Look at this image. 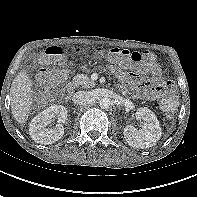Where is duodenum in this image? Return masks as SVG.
Wrapping results in <instances>:
<instances>
[{"label": "duodenum", "instance_id": "duodenum-1", "mask_svg": "<svg viewBox=\"0 0 197 197\" xmlns=\"http://www.w3.org/2000/svg\"><path fill=\"white\" fill-rule=\"evenodd\" d=\"M68 92H71V88H68Z\"/></svg>", "mask_w": 197, "mask_h": 197}]
</instances>
